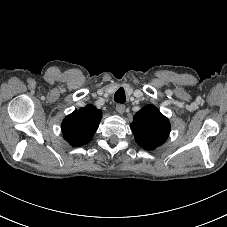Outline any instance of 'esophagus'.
Returning a JSON list of instances; mask_svg holds the SVG:
<instances>
[{"instance_id":"34e87169","label":"esophagus","mask_w":227,"mask_h":227,"mask_svg":"<svg viewBox=\"0 0 227 227\" xmlns=\"http://www.w3.org/2000/svg\"><path fill=\"white\" fill-rule=\"evenodd\" d=\"M116 111H117L119 114H123L124 111H125V105H124V104H117V105H116Z\"/></svg>"}]
</instances>
